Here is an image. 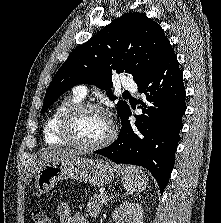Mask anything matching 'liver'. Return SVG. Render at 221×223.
I'll use <instances>...</instances> for the list:
<instances>
[{
    "instance_id": "1",
    "label": "liver",
    "mask_w": 221,
    "mask_h": 223,
    "mask_svg": "<svg viewBox=\"0 0 221 223\" xmlns=\"http://www.w3.org/2000/svg\"><path fill=\"white\" fill-rule=\"evenodd\" d=\"M79 152L73 149L54 148L42 151L36 158L35 167L38 170L41 166L57 161L62 158H70L78 155Z\"/></svg>"
}]
</instances>
